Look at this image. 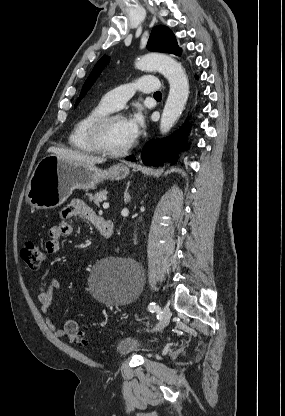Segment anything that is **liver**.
Listing matches in <instances>:
<instances>
[{
    "label": "liver",
    "mask_w": 285,
    "mask_h": 416,
    "mask_svg": "<svg viewBox=\"0 0 285 416\" xmlns=\"http://www.w3.org/2000/svg\"><path fill=\"white\" fill-rule=\"evenodd\" d=\"M47 152H51L54 156L67 160V162H77V164H86V166H93V164H103L106 162L105 158H97V156H90L87 152H79V150H63V148H49Z\"/></svg>",
    "instance_id": "1"
}]
</instances>
